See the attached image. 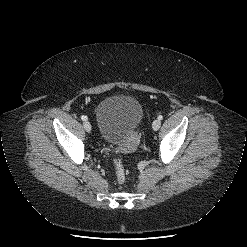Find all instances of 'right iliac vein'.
<instances>
[{
    "instance_id": "63e3f726",
    "label": "right iliac vein",
    "mask_w": 247,
    "mask_h": 247,
    "mask_svg": "<svg viewBox=\"0 0 247 247\" xmlns=\"http://www.w3.org/2000/svg\"><path fill=\"white\" fill-rule=\"evenodd\" d=\"M83 127H84V129H85L88 133L91 132L92 127H91V124H90L89 121H85V122L83 123Z\"/></svg>"
}]
</instances>
